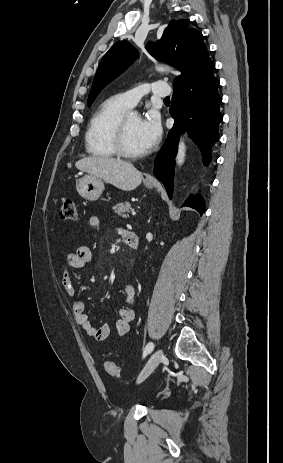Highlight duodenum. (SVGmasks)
I'll return each instance as SVG.
<instances>
[{
    "instance_id": "410a0bca",
    "label": "duodenum",
    "mask_w": 283,
    "mask_h": 463,
    "mask_svg": "<svg viewBox=\"0 0 283 463\" xmlns=\"http://www.w3.org/2000/svg\"><path fill=\"white\" fill-rule=\"evenodd\" d=\"M126 244L132 249L136 250L139 246V238L137 234L133 232H127L124 236Z\"/></svg>"
}]
</instances>
